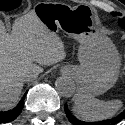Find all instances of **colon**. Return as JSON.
Segmentation results:
<instances>
[{"mask_svg": "<svg viewBox=\"0 0 125 125\" xmlns=\"http://www.w3.org/2000/svg\"><path fill=\"white\" fill-rule=\"evenodd\" d=\"M124 75H125V63H124Z\"/></svg>", "mask_w": 125, "mask_h": 125, "instance_id": "1", "label": "colon"}]
</instances>
